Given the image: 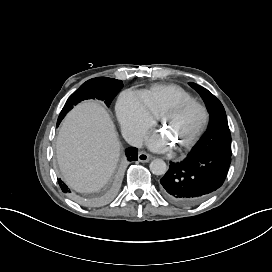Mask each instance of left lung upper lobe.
Masks as SVG:
<instances>
[{"label": "left lung upper lobe", "mask_w": 272, "mask_h": 272, "mask_svg": "<svg viewBox=\"0 0 272 272\" xmlns=\"http://www.w3.org/2000/svg\"><path fill=\"white\" fill-rule=\"evenodd\" d=\"M189 85L201 95L210 114L209 128L190 154L217 152L231 156V134L222 103L202 86L193 82Z\"/></svg>", "instance_id": "1"}]
</instances>
